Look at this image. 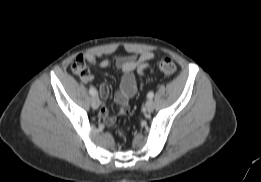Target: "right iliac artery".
<instances>
[{"label":"right iliac artery","mask_w":261,"mask_h":182,"mask_svg":"<svg viewBox=\"0 0 261 182\" xmlns=\"http://www.w3.org/2000/svg\"><path fill=\"white\" fill-rule=\"evenodd\" d=\"M89 93L91 94V95H97V90L95 89V88H93V87H91L90 89H89Z\"/></svg>","instance_id":"obj_1"}]
</instances>
